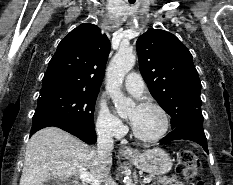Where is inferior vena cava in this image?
I'll list each match as a JSON object with an SVG mask.
<instances>
[{"label":"inferior vena cava","mask_w":233,"mask_h":185,"mask_svg":"<svg viewBox=\"0 0 233 185\" xmlns=\"http://www.w3.org/2000/svg\"><path fill=\"white\" fill-rule=\"evenodd\" d=\"M97 152L100 156L110 154L114 148L113 135L106 129H99L97 131ZM104 185H116L112 178L107 173L103 178Z\"/></svg>","instance_id":"obj_1"}]
</instances>
